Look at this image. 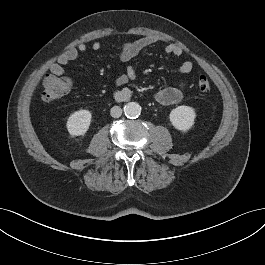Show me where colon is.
Returning a JSON list of instances; mask_svg holds the SVG:
<instances>
[{
	"label": "colon",
	"instance_id": "5ec220e1",
	"mask_svg": "<svg viewBox=\"0 0 265 265\" xmlns=\"http://www.w3.org/2000/svg\"><path fill=\"white\" fill-rule=\"evenodd\" d=\"M70 88V82L67 78L54 74L47 75L43 80L42 100L50 103L65 96ZM198 89L201 92H208L211 89L209 80L201 76L198 79Z\"/></svg>",
	"mask_w": 265,
	"mask_h": 265
}]
</instances>
